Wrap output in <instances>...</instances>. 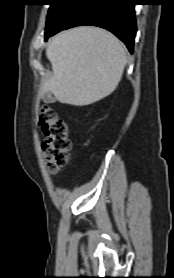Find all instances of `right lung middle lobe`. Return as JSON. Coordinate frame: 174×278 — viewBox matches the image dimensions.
Segmentation results:
<instances>
[{
	"instance_id": "right-lung-middle-lobe-1",
	"label": "right lung middle lobe",
	"mask_w": 174,
	"mask_h": 278,
	"mask_svg": "<svg viewBox=\"0 0 174 278\" xmlns=\"http://www.w3.org/2000/svg\"><path fill=\"white\" fill-rule=\"evenodd\" d=\"M78 0H48L50 9L47 16L46 31L55 27Z\"/></svg>"
}]
</instances>
